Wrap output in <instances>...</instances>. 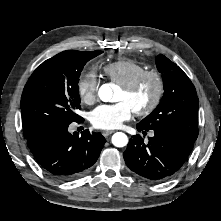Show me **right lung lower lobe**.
<instances>
[{"label": "right lung lower lobe", "mask_w": 221, "mask_h": 221, "mask_svg": "<svg viewBox=\"0 0 221 221\" xmlns=\"http://www.w3.org/2000/svg\"><path fill=\"white\" fill-rule=\"evenodd\" d=\"M82 118L78 123L83 122ZM69 124L47 129L29 139L27 145L40 167L58 180H72L97 161L106 139L88 130L68 132Z\"/></svg>", "instance_id": "98d812e1"}]
</instances>
